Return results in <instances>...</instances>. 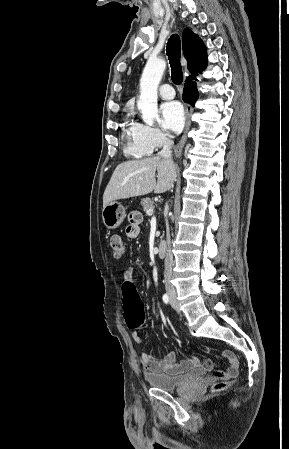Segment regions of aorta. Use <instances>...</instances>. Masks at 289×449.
Masks as SVG:
<instances>
[{"label":"aorta","mask_w":289,"mask_h":449,"mask_svg":"<svg viewBox=\"0 0 289 449\" xmlns=\"http://www.w3.org/2000/svg\"><path fill=\"white\" fill-rule=\"evenodd\" d=\"M165 68L164 59L149 58L140 79V97L137 106L142 113L143 121L148 125H153L158 116L157 89Z\"/></svg>","instance_id":"aorta-1"}]
</instances>
